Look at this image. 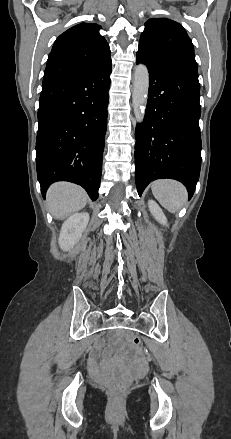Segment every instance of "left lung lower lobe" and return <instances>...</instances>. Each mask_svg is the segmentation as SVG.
<instances>
[{
  "instance_id": "1",
  "label": "left lung lower lobe",
  "mask_w": 231,
  "mask_h": 439,
  "mask_svg": "<svg viewBox=\"0 0 231 439\" xmlns=\"http://www.w3.org/2000/svg\"><path fill=\"white\" fill-rule=\"evenodd\" d=\"M149 70L144 121L135 131V180L139 195L153 180L182 182L193 195L201 168L198 72L160 66L136 55Z\"/></svg>"
}]
</instances>
